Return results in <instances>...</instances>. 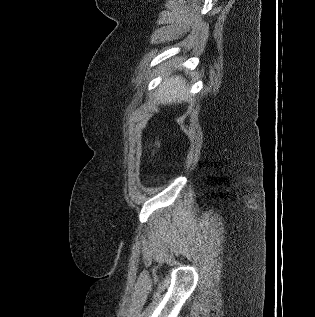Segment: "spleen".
Instances as JSON below:
<instances>
[{"mask_svg":"<svg viewBox=\"0 0 315 317\" xmlns=\"http://www.w3.org/2000/svg\"><path fill=\"white\" fill-rule=\"evenodd\" d=\"M186 90L185 80L181 76H172L159 85L155 97L159 103L172 104L183 100L186 96Z\"/></svg>","mask_w":315,"mask_h":317,"instance_id":"obj_1","label":"spleen"}]
</instances>
